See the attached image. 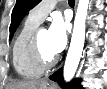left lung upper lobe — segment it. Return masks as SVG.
Instances as JSON below:
<instances>
[{
    "label": "left lung upper lobe",
    "mask_w": 107,
    "mask_h": 89,
    "mask_svg": "<svg viewBox=\"0 0 107 89\" xmlns=\"http://www.w3.org/2000/svg\"><path fill=\"white\" fill-rule=\"evenodd\" d=\"M39 2L40 0H17L16 5L12 11L9 39L13 37L17 27L27 12L36 6Z\"/></svg>",
    "instance_id": "5c2ea615"
}]
</instances>
